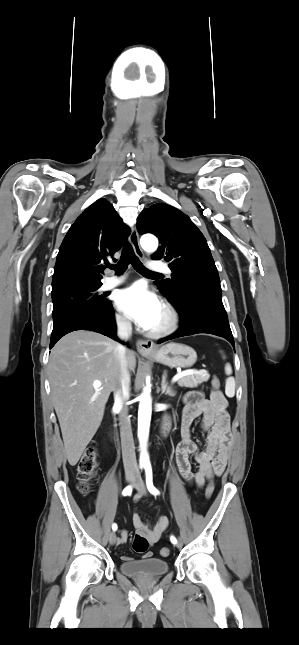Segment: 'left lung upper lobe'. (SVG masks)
I'll list each match as a JSON object with an SVG mask.
<instances>
[{
    "mask_svg": "<svg viewBox=\"0 0 299 645\" xmlns=\"http://www.w3.org/2000/svg\"><path fill=\"white\" fill-rule=\"evenodd\" d=\"M137 228L142 234L152 233L160 239L161 246L152 258L169 262L172 279L156 282L167 297L178 298L203 284L220 283L205 237L177 208L154 204L141 212Z\"/></svg>",
    "mask_w": 299,
    "mask_h": 645,
    "instance_id": "5c2ea615",
    "label": "left lung upper lobe"
}]
</instances>
